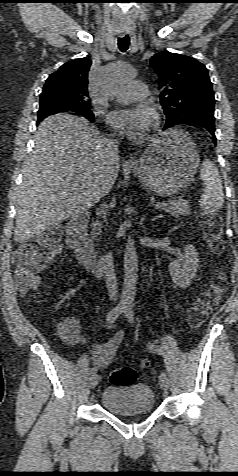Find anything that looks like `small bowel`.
Listing matches in <instances>:
<instances>
[{
  "label": "small bowel",
  "mask_w": 238,
  "mask_h": 476,
  "mask_svg": "<svg viewBox=\"0 0 238 476\" xmlns=\"http://www.w3.org/2000/svg\"><path fill=\"white\" fill-rule=\"evenodd\" d=\"M57 334L69 346L86 342L81 324L73 316L65 318L57 325ZM123 338L124 333L119 331L112 339L94 345L89 351V357L96 369H103L111 363Z\"/></svg>",
  "instance_id": "1"
}]
</instances>
